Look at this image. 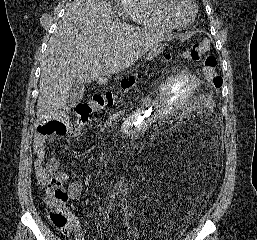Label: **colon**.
<instances>
[{
    "mask_svg": "<svg viewBox=\"0 0 257 240\" xmlns=\"http://www.w3.org/2000/svg\"><path fill=\"white\" fill-rule=\"evenodd\" d=\"M209 48L210 41L208 39H204L201 42L192 45L182 54V57L191 61L202 60V73L204 78L213 88L217 89L222 85V78L218 75L215 69L216 58L212 55H207L203 58ZM171 60L172 55L165 56L166 62H170ZM142 78V73L125 78L121 83L122 90L126 93H130L135 89ZM116 97V94L107 93L95 97L91 102L79 104L76 107L78 125H83L88 122L89 118L95 111L110 108L114 104ZM65 127V124L59 121L45 120L38 124L37 131L43 135H53L61 133L64 131ZM45 197L47 204L51 208L49 213L50 222L58 230L67 232L69 230V218L62 209V206L68 199V193L56 178H50Z\"/></svg>",
    "mask_w": 257,
    "mask_h": 240,
    "instance_id": "obj_1",
    "label": "colon"
}]
</instances>
